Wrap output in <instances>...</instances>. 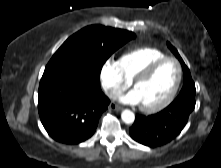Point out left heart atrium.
<instances>
[{
  "label": "left heart atrium",
  "instance_id": "39dd6f15",
  "mask_svg": "<svg viewBox=\"0 0 221 168\" xmlns=\"http://www.w3.org/2000/svg\"><path fill=\"white\" fill-rule=\"evenodd\" d=\"M120 101L126 104H139L140 103V99L134 90L122 96L120 98Z\"/></svg>",
  "mask_w": 221,
  "mask_h": 168
}]
</instances>
